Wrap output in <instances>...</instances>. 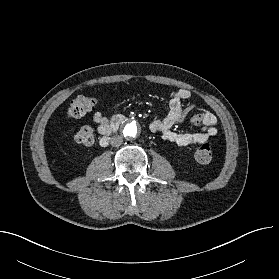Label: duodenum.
Returning <instances> with one entry per match:
<instances>
[{"label": "duodenum", "mask_w": 279, "mask_h": 279, "mask_svg": "<svg viewBox=\"0 0 279 279\" xmlns=\"http://www.w3.org/2000/svg\"><path fill=\"white\" fill-rule=\"evenodd\" d=\"M123 121H124V117L121 116V115H118V116L114 117V119L112 120V122H111V124L109 126V130H108L107 134H105L100 139V145L102 147L108 146L111 134H113L115 131H117V129L123 123Z\"/></svg>", "instance_id": "410a0bca"}]
</instances>
